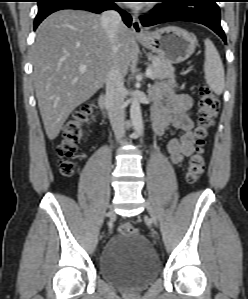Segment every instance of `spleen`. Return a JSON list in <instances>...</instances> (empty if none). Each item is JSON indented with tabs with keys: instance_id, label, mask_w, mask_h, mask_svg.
I'll use <instances>...</instances> for the list:
<instances>
[{
	"instance_id": "3e777b00",
	"label": "spleen",
	"mask_w": 248,
	"mask_h": 299,
	"mask_svg": "<svg viewBox=\"0 0 248 299\" xmlns=\"http://www.w3.org/2000/svg\"><path fill=\"white\" fill-rule=\"evenodd\" d=\"M205 79L210 89L220 95L225 88L224 67L220 55L211 40H205Z\"/></svg>"
}]
</instances>
